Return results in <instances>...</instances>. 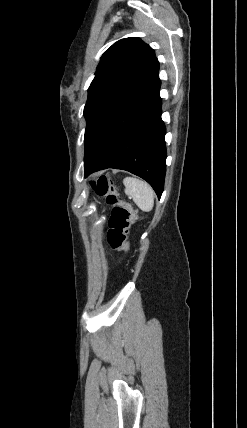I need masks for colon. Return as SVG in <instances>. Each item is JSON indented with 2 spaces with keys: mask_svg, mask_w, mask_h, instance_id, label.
<instances>
[{
  "mask_svg": "<svg viewBox=\"0 0 247 428\" xmlns=\"http://www.w3.org/2000/svg\"><path fill=\"white\" fill-rule=\"evenodd\" d=\"M92 189L97 195L105 196L108 205L112 206L108 220L106 241L112 250L129 251L131 246L127 239L129 228L137 217V211L119 194L111 181L99 177L92 181Z\"/></svg>",
  "mask_w": 247,
  "mask_h": 428,
  "instance_id": "obj_1",
  "label": "colon"
}]
</instances>
